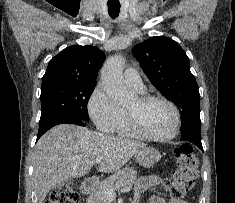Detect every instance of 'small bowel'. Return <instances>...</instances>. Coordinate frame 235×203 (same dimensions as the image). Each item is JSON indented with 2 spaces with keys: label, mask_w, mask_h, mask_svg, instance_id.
<instances>
[{
  "label": "small bowel",
  "mask_w": 235,
  "mask_h": 203,
  "mask_svg": "<svg viewBox=\"0 0 235 203\" xmlns=\"http://www.w3.org/2000/svg\"><path fill=\"white\" fill-rule=\"evenodd\" d=\"M160 182H161L160 178L156 175L140 177L135 184L134 200L137 201V203H139L143 193L146 190L159 185ZM149 203H187V202L182 198L171 197L170 199H165L157 195H152L149 199Z\"/></svg>",
  "instance_id": "1"
}]
</instances>
